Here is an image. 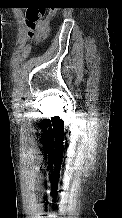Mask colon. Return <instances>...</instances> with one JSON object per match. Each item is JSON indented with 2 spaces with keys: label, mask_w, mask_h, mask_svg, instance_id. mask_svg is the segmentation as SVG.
I'll list each match as a JSON object with an SVG mask.
<instances>
[{
  "label": "colon",
  "mask_w": 122,
  "mask_h": 218,
  "mask_svg": "<svg viewBox=\"0 0 122 218\" xmlns=\"http://www.w3.org/2000/svg\"><path fill=\"white\" fill-rule=\"evenodd\" d=\"M45 11L43 9H30L27 12V25L30 29L29 35L31 37H42L48 31V24L41 19L44 17Z\"/></svg>",
  "instance_id": "colon-1"
}]
</instances>
